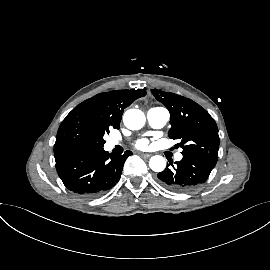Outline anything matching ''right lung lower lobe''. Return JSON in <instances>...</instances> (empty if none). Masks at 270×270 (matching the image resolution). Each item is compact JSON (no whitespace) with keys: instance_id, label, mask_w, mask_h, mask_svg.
<instances>
[{"instance_id":"98d812e1","label":"right lung lower lobe","mask_w":270,"mask_h":270,"mask_svg":"<svg viewBox=\"0 0 270 270\" xmlns=\"http://www.w3.org/2000/svg\"><path fill=\"white\" fill-rule=\"evenodd\" d=\"M131 151L113 155L103 147L68 145L54 147L56 169L69 190L83 197L97 196L111 189L120 179Z\"/></svg>"}]
</instances>
